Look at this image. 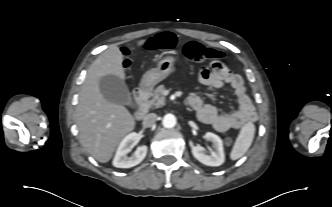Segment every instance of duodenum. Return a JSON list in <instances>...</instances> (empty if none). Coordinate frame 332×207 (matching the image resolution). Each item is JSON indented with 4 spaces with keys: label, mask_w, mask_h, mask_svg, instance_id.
<instances>
[{
    "label": "duodenum",
    "mask_w": 332,
    "mask_h": 207,
    "mask_svg": "<svg viewBox=\"0 0 332 207\" xmlns=\"http://www.w3.org/2000/svg\"><path fill=\"white\" fill-rule=\"evenodd\" d=\"M134 99L137 103V109L135 112V118L138 121L144 119L148 111L147 99H148V88L139 87L134 92ZM187 104L189 105V98L187 99Z\"/></svg>",
    "instance_id": "1"
}]
</instances>
